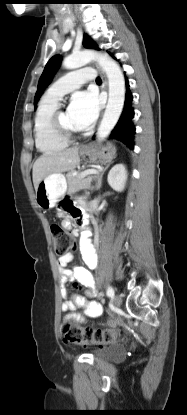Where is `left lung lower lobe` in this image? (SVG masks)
I'll use <instances>...</instances> for the list:
<instances>
[{"instance_id": "left-lung-lower-lobe-1", "label": "left lung lower lobe", "mask_w": 187, "mask_h": 415, "mask_svg": "<svg viewBox=\"0 0 187 415\" xmlns=\"http://www.w3.org/2000/svg\"><path fill=\"white\" fill-rule=\"evenodd\" d=\"M126 82V95H125V102L122 114L112 129L109 138L110 139H117L125 143L128 147L133 149L134 147V133L135 127L133 126L131 120L134 117V110L131 106V102L133 100L131 91L129 89V82L128 79L125 77Z\"/></svg>"}]
</instances>
